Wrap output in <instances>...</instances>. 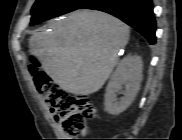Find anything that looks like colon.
Returning <instances> with one entry per match:
<instances>
[{
    "label": "colon",
    "mask_w": 182,
    "mask_h": 140,
    "mask_svg": "<svg viewBox=\"0 0 182 140\" xmlns=\"http://www.w3.org/2000/svg\"><path fill=\"white\" fill-rule=\"evenodd\" d=\"M29 70L36 89L54 112L55 119L60 122L64 132L73 136L86 134L87 121L97 114L92 101L85 96L66 94L34 65Z\"/></svg>",
    "instance_id": "colon-1"
}]
</instances>
